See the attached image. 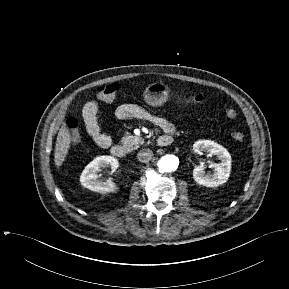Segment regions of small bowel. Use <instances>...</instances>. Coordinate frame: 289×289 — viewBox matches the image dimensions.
<instances>
[{
  "mask_svg": "<svg viewBox=\"0 0 289 289\" xmlns=\"http://www.w3.org/2000/svg\"><path fill=\"white\" fill-rule=\"evenodd\" d=\"M115 116L120 120L143 119L152 122L163 130L165 136L172 139L174 125L165 118L154 116L137 104L125 103L115 109ZM85 128L93 141L101 148H109L113 141L111 136L101 130L99 122V106L96 101L87 102L82 109Z\"/></svg>",
  "mask_w": 289,
  "mask_h": 289,
  "instance_id": "obj_1",
  "label": "small bowel"
}]
</instances>
